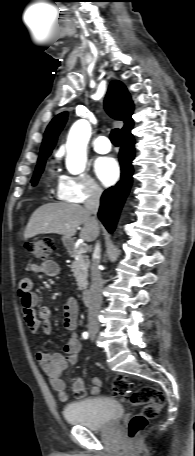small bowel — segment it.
<instances>
[{
    "label": "small bowel",
    "mask_w": 195,
    "mask_h": 456,
    "mask_svg": "<svg viewBox=\"0 0 195 456\" xmlns=\"http://www.w3.org/2000/svg\"><path fill=\"white\" fill-rule=\"evenodd\" d=\"M27 269L37 275L54 277L59 274L60 267L53 260H45L41 263H29ZM17 294L21 302L23 318L32 333L42 330L45 334H50L52 325L50 321V310L46 306L36 310L37 295L33 292V281L24 277L18 282ZM78 320V306L74 299L69 298L64 305L63 326L70 332L68 340L64 346V353L38 351L36 359L41 368L49 378L52 388L58 393V398L62 402L69 400L67 385L63 379L64 371L71 365H75L81 348L78 335L76 333ZM90 394L97 396L101 393L102 384L100 379H92ZM72 392L76 398H83L87 395L83 378L79 377L72 383Z\"/></svg>",
    "instance_id": "1"
}]
</instances>
